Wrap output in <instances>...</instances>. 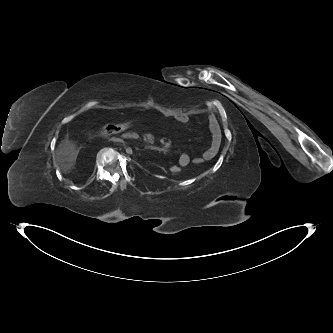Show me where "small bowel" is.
<instances>
[{
    "instance_id": "small-bowel-1",
    "label": "small bowel",
    "mask_w": 333,
    "mask_h": 333,
    "mask_svg": "<svg viewBox=\"0 0 333 333\" xmlns=\"http://www.w3.org/2000/svg\"><path fill=\"white\" fill-rule=\"evenodd\" d=\"M207 117L209 128L212 133V141L210 146L204 151L201 156L193 159V162L195 164H202L205 161L213 159L217 155L220 148L221 132L217 118L213 112H208ZM172 118L178 123H186L189 120V115L187 113H176L172 116ZM190 161L191 159L189 155L186 153H182L179 157L177 165H182L183 167H186L190 163Z\"/></svg>"
}]
</instances>
